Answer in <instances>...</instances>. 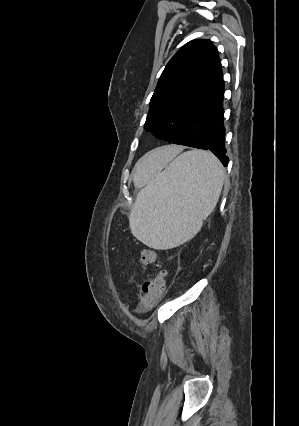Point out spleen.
Segmentation results:
<instances>
[{
	"instance_id": "spleen-1",
	"label": "spleen",
	"mask_w": 299,
	"mask_h": 426,
	"mask_svg": "<svg viewBox=\"0 0 299 426\" xmlns=\"http://www.w3.org/2000/svg\"><path fill=\"white\" fill-rule=\"evenodd\" d=\"M224 177L221 162L210 152L178 155L139 191L129 216L131 233L153 249L183 244L215 208Z\"/></svg>"
}]
</instances>
